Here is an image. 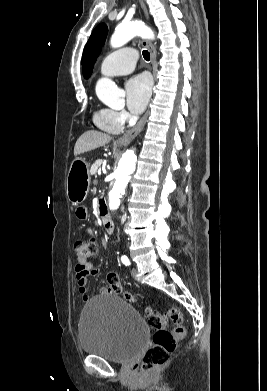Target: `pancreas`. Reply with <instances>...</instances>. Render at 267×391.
I'll return each instance as SVG.
<instances>
[{
  "instance_id": "cf45deb5",
  "label": "pancreas",
  "mask_w": 267,
  "mask_h": 391,
  "mask_svg": "<svg viewBox=\"0 0 267 391\" xmlns=\"http://www.w3.org/2000/svg\"><path fill=\"white\" fill-rule=\"evenodd\" d=\"M102 163H103V160H101V159L96 160L91 166L90 174L95 175Z\"/></svg>"
}]
</instances>
